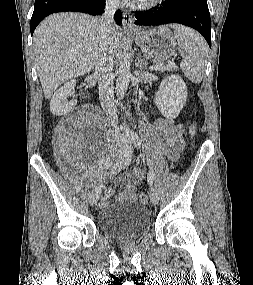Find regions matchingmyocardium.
<instances>
[{"instance_id":"obj_1","label":"myocardium","mask_w":253,"mask_h":285,"mask_svg":"<svg viewBox=\"0 0 253 285\" xmlns=\"http://www.w3.org/2000/svg\"><path fill=\"white\" fill-rule=\"evenodd\" d=\"M163 0H139L135 2V7L139 9H151L158 6Z\"/></svg>"}]
</instances>
